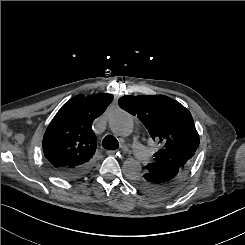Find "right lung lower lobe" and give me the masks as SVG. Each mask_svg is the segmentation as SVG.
I'll return each instance as SVG.
<instances>
[{
	"mask_svg": "<svg viewBox=\"0 0 245 245\" xmlns=\"http://www.w3.org/2000/svg\"><path fill=\"white\" fill-rule=\"evenodd\" d=\"M50 168L56 175L68 180H73L88 174L92 169V161L77 168Z\"/></svg>",
	"mask_w": 245,
	"mask_h": 245,
	"instance_id": "98d812e1",
	"label": "right lung lower lobe"
}]
</instances>
